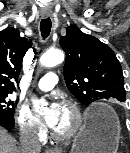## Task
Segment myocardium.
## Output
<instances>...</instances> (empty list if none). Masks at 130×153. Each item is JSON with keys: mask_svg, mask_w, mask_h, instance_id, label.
Returning <instances> with one entry per match:
<instances>
[{"mask_svg": "<svg viewBox=\"0 0 130 153\" xmlns=\"http://www.w3.org/2000/svg\"><path fill=\"white\" fill-rule=\"evenodd\" d=\"M62 105L71 111L73 115V123L65 132H59L51 128V135L57 141H67L72 139L78 133L83 124V114L77 103L72 100H64Z\"/></svg>", "mask_w": 130, "mask_h": 153, "instance_id": "f54148a6", "label": "myocardium"}]
</instances>
